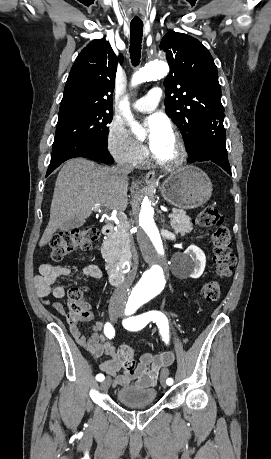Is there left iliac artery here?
I'll return each instance as SVG.
<instances>
[{
  "mask_svg": "<svg viewBox=\"0 0 271 459\" xmlns=\"http://www.w3.org/2000/svg\"><path fill=\"white\" fill-rule=\"evenodd\" d=\"M141 306V303H131V306L124 309L126 316H132L134 311ZM150 321H153L159 327L158 333L163 337L166 344L169 342V324L167 317L160 311H149L136 317H129L123 320V326L130 331H138L144 328ZM168 387H173V379H167Z\"/></svg>",
  "mask_w": 271,
  "mask_h": 459,
  "instance_id": "44dca946",
  "label": "left iliac artery"
}]
</instances>
